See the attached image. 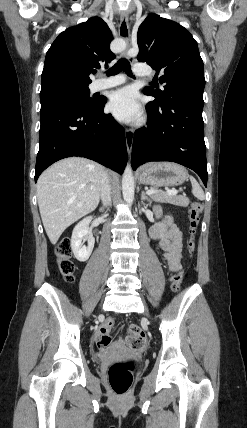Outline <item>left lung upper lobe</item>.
<instances>
[{
  "mask_svg": "<svg viewBox=\"0 0 247 428\" xmlns=\"http://www.w3.org/2000/svg\"><path fill=\"white\" fill-rule=\"evenodd\" d=\"M137 42V59L156 70V76L161 75L159 82L164 84L163 90L151 87L143 90L144 94L155 97L150 103L161 106L180 97L204 103L203 61L189 31L176 22L149 14L139 26Z\"/></svg>",
  "mask_w": 247,
  "mask_h": 428,
  "instance_id": "5c2ea615",
  "label": "left lung upper lobe"
}]
</instances>
